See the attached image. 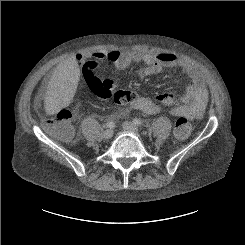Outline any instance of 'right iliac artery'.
<instances>
[{"label": "right iliac artery", "mask_w": 245, "mask_h": 245, "mask_svg": "<svg viewBox=\"0 0 245 245\" xmlns=\"http://www.w3.org/2000/svg\"><path fill=\"white\" fill-rule=\"evenodd\" d=\"M106 126L108 127V128H113L114 126H115V124H114V122H107L106 123Z\"/></svg>", "instance_id": "obj_1"}]
</instances>
